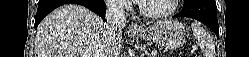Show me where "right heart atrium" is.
I'll return each instance as SVG.
<instances>
[{
  "mask_svg": "<svg viewBox=\"0 0 249 57\" xmlns=\"http://www.w3.org/2000/svg\"><path fill=\"white\" fill-rule=\"evenodd\" d=\"M107 5L116 11H125L130 8V4L126 0L107 1Z\"/></svg>",
  "mask_w": 249,
  "mask_h": 57,
  "instance_id": "right-heart-atrium-1",
  "label": "right heart atrium"
}]
</instances>
